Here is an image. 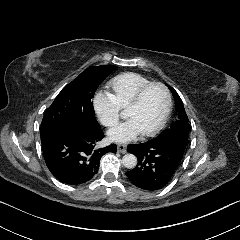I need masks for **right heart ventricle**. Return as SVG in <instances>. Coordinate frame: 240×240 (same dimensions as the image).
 Wrapping results in <instances>:
<instances>
[{
  "label": "right heart ventricle",
  "mask_w": 240,
  "mask_h": 240,
  "mask_svg": "<svg viewBox=\"0 0 240 240\" xmlns=\"http://www.w3.org/2000/svg\"><path fill=\"white\" fill-rule=\"evenodd\" d=\"M150 83L144 76L127 72L120 74L106 83L107 95L118 109H124L142 86Z\"/></svg>",
  "instance_id": "right-heart-ventricle-1"
}]
</instances>
